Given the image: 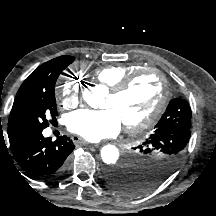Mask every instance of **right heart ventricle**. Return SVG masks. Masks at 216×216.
<instances>
[{
    "label": "right heart ventricle",
    "mask_w": 216,
    "mask_h": 216,
    "mask_svg": "<svg viewBox=\"0 0 216 216\" xmlns=\"http://www.w3.org/2000/svg\"><path fill=\"white\" fill-rule=\"evenodd\" d=\"M141 69V66L136 64H113L106 65L97 69L94 73L95 79L111 88L120 82L127 75Z\"/></svg>",
    "instance_id": "e07e8e85"
}]
</instances>
